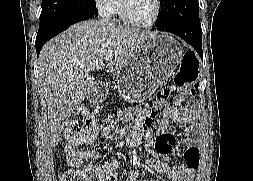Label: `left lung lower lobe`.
Returning a JSON list of instances; mask_svg holds the SVG:
<instances>
[{
  "mask_svg": "<svg viewBox=\"0 0 253 181\" xmlns=\"http://www.w3.org/2000/svg\"><path fill=\"white\" fill-rule=\"evenodd\" d=\"M153 29L167 31L178 35L188 42L199 54H202V29L199 22L196 23H169L156 26Z\"/></svg>",
  "mask_w": 253,
  "mask_h": 181,
  "instance_id": "obj_1",
  "label": "left lung lower lobe"
}]
</instances>
